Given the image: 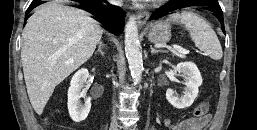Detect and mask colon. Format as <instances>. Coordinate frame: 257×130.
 <instances>
[{
    "label": "colon",
    "mask_w": 257,
    "mask_h": 130,
    "mask_svg": "<svg viewBox=\"0 0 257 130\" xmlns=\"http://www.w3.org/2000/svg\"><path fill=\"white\" fill-rule=\"evenodd\" d=\"M209 102L205 101L198 104L194 109V116L197 119L204 118L209 112Z\"/></svg>",
    "instance_id": "1"
}]
</instances>
